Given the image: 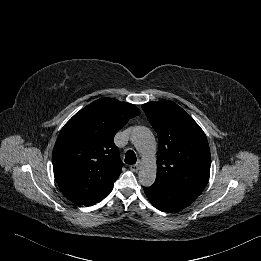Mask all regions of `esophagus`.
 <instances>
[{
  "instance_id": "esophagus-1",
  "label": "esophagus",
  "mask_w": 261,
  "mask_h": 261,
  "mask_svg": "<svg viewBox=\"0 0 261 261\" xmlns=\"http://www.w3.org/2000/svg\"><path fill=\"white\" fill-rule=\"evenodd\" d=\"M140 168V161H138L136 164L130 166V170L133 172H137Z\"/></svg>"
}]
</instances>
